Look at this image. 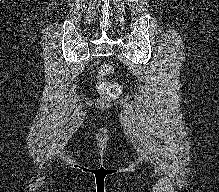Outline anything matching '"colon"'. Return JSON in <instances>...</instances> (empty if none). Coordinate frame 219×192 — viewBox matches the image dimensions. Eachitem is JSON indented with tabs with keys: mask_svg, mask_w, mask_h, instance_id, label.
Listing matches in <instances>:
<instances>
[{
	"mask_svg": "<svg viewBox=\"0 0 219 192\" xmlns=\"http://www.w3.org/2000/svg\"><path fill=\"white\" fill-rule=\"evenodd\" d=\"M114 71L110 64L100 66L97 77V89L102 95L103 102H110L119 98L122 94V87L116 82H109L104 77L112 74Z\"/></svg>",
	"mask_w": 219,
	"mask_h": 192,
	"instance_id": "1",
	"label": "colon"
}]
</instances>
